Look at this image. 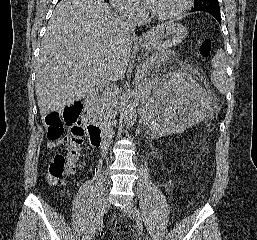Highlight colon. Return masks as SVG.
I'll return each instance as SVG.
<instances>
[{
    "instance_id": "colon-1",
    "label": "colon",
    "mask_w": 257,
    "mask_h": 240,
    "mask_svg": "<svg viewBox=\"0 0 257 240\" xmlns=\"http://www.w3.org/2000/svg\"><path fill=\"white\" fill-rule=\"evenodd\" d=\"M212 41L205 39L199 47V54L207 59L212 54ZM47 138L49 141H63L65 150L57 152L51 159L48 168V180L59 182L64 177L73 176L79 170V158L83 143L84 131L81 126V106L72 104L63 112H50L45 117ZM65 128H69L65 134Z\"/></svg>"
}]
</instances>
